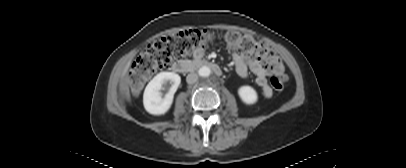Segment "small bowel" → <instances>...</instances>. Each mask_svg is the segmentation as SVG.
Returning <instances> with one entry per match:
<instances>
[{"label":"small bowel","mask_w":406,"mask_h":168,"mask_svg":"<svg viewBox=\"0 0 406 168\" xmlns=\"http://www.w3.org/2000/svg\"><path fill=\"white\" fill-rule=\"evenodd\" d=\"M230 53L232 55L237 74L241 77H247L249 72L255 74L256 83L260 87L263 97H271L272 89L267 82V70L262 62L254 58L246 57L231 49ZM203 55L204 49H199L194 52V57L196 59L202 58Z\"/></svg>","instance_id":"obj_1"}]
</instances>
